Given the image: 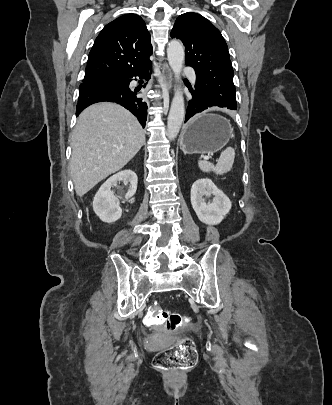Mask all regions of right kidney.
Wrapping results in <instances>:
<instances>
[{
    "mask_svg": "<svg viewBox=\"0 0 332 405\" xmlns=\"http://www.w3.org/2000/svg\"><path fill=\"white\" fill-rule=\"evenodd\" d=\"M120 181L125 186H128L125 199H130L136 193L138 183L136 173L131 170H124L110 177L102 184L94 196L93 210L100 220L105 223H113L122 216L120 208L121 196H115L111 191V187L116 186Z\"/></svg>",
    "mask_w": 332,
    "mask_h": 405,
    "instance_id": "right-kidney-1",
    "label": "right kidney"
}]
</instances>
